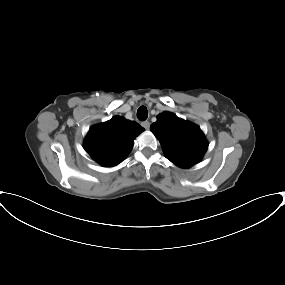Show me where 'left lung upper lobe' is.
Returning <instances> with one entry per match:
<instances>
[{
    "label": "left lung upper lobe",
    "mask_w": 285,
    "mask_h": 285,
    "mask_svg": "<svg viewBox=\"0 0 285 285\" xmlns=\"http://www.w3.org/2000/svg\"><path fill=\"white\" fill-rule=\"evenodd\" d=\"M150 130L159 139L165 156L181 168H190L199 162L208 148L197 125L170 112L159 114Z\"/></svg>",
    "instance_id": "1"
}]
</instances>
